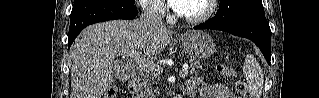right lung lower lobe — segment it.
<instances>
[{
	"instance_id": "98d812e1",
	"label": "right lung lower lobe",
	"mask_w": 319,
	"mask_h": 98,
	"mask_svg": "<svg viewBox=\"0 0 319 98\" xmlns=\"http://www.w3.org/2000/svg\"><path fill=\"white\" fill-rule=\"evenodd\" d=\"M136 6L114 0H94L73 5L70 16L68 47L88 25L114 19H134Z\"/></svg>"
}]
</instances>
